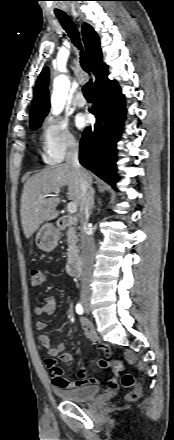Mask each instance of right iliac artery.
<instances>
[{"label":"right iliac artery","mask_w":174,"mask_h":440,"mask_svg":"<svg viewBox=\"0 0 174 440\" xmlns=\"http://www.w3.org/2000/svg\"><path fill=\"white\" fill-rule=\"evenodd\" d=\"M76 312L80 315L83 314V307L80 303L76 305Z\"/></svg>","instance_id":"1"}]
</instances>
